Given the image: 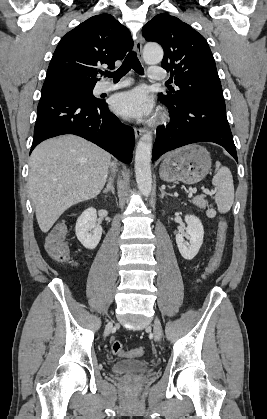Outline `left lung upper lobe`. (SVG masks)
Instances as JSON below:
<instances>
[{"label": "left lung upper lobe", "instance_id": "5c2ea615", "mask_svg": "<svg viewBox=\"0 0 267 419\" xmlns=\"http://www.w3.org/2000/svg\"><path fill=\"white\" fill-rule=\"evenodd\" d=\"M147 41L161 44L162 68L171 72L179 90L159 93L160 101L175 108L202 97L223 99L215 61L205 38L169 14L156 15L142 29Z\"/></svg>", "mask_w": 267, "mask_h": 419}]
</instances>
